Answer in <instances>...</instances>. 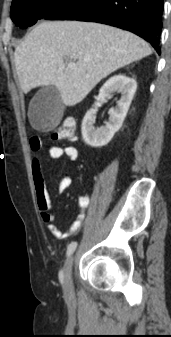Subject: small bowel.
<instances>
[{"instance_id": "obj_1", "label": "small bowel", "mask_w": 171, "mask_h": 337, "mask_svg": "<svg viewBox=\"0 0 171 337\" xmlns=\"http://www.w3.org/2000/svg\"><path fill=\"white\" fill-rule=\"evenodd\" d=\"M30 145L32 150L35 152L32 158V179L36 203L40 210L42 221L47 224L49 232L60 240L74 236L80 231L85 222L89 198L85 195L79 198L78 216L72 221L67 229H59L56 225L57 217L52 212V202L43 169V157L39 154V150L42 146V140L38 137H32L30 139ZM49 155L53 159L66 157L69 161H76L79 156V152L73 145H67L64 147L51 145L49 147ZM71 185L72 178L70 176H64L57 185V191L61 193Z\"/></svg>"}]
</instances>
